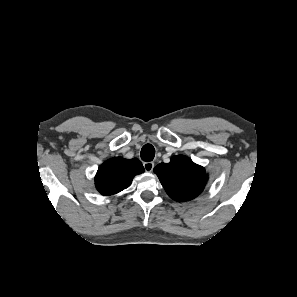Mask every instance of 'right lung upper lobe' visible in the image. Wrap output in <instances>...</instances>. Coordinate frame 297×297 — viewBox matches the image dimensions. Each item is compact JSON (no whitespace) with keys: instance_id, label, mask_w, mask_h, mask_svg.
I'll return each instance as SVG.
<instances>
[{"instance_id":"right-lung-upper-lobe-1","label":"right lung upper lobe","mask_w":297,"mask_h":297,"mask_svg":"<svg viewBox=\"0 0 297 297\" xmlns=\"http://www.w3.org/2000/svg\"><path fill=\"white\" fill-rule=\"evenodd\" d=\"M143 172L137 159L112 158L99 167L95 176L96 188L104 196L116 194L129 187L135 175Z\"/></svg>"}]
</instances>
